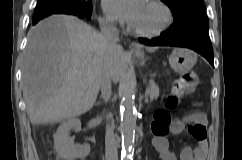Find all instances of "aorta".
<instances>
[{
  "label": "aorta",
  "mask_w": 242,
  "mask_h": 160,
  "mask_svg": "<svg viewBox=\"0 0 242 160\" xmlns=\"http://www.w3.org/2000/svg\"><path fill=\"white\" fill-rule=\"evenodd\" d=\"M124 96L120 107L121 111V134H122V160H132V145L136 129V108L135 92L136 78L135 75L129 74L124 80Z\"/></svg>",
  "instance_id": "762f6f07"
}]
</instances>
